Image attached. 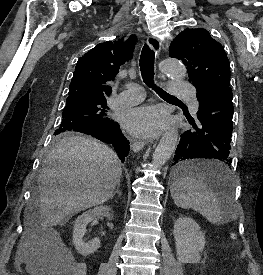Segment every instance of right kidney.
Wrapping results in <instances>:
<instances>
[{"label": "right kidney", "instance_id": "obj_1", "mask_svg": "<svg viewBox=\"0 0 263 275\" xmlns=\"http://www.w3.org/2000/svg\"><path fill=\"white\" fill-rule=\"evenodd\" d=\"M111 208L108 206H99L80 215L74 224L73 244L76 250L83 256L94 253L100 247L99 238H94L86 243L83 240L86 234V226L93 221L97 216H103L111 219Z\"/></svg>", "mask_w": 263, "mask_h": 275}]
</instances>
